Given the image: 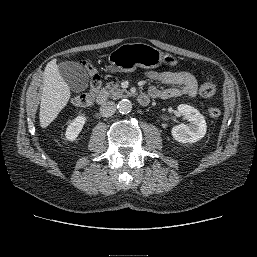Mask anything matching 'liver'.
<instances>
[{
    "label": "liver",
    "mask_w": 257,
    "mask_h": 257,
    "mask_svg": "<svg viewBox=\"0 0 257 257\" xmlns=\"http://www.w3.org/2000/svg\"><path fill=\"white\" fill-rule=\"evenodd\" d=\"M70 87L60 75L56 59L50 61L44 71L43 91L40 103V126L46 128L70 99Z\"/></svg>",
    "instance_id": "6515ba94"
}]
</instances>
